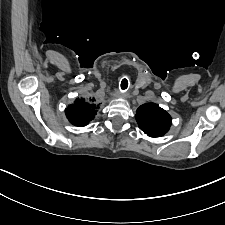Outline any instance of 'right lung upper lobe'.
I'll list each match as a JSON object with an SVG mask.
<instances>
[{
    "label": "right lung upper lobe",
    "instance_id": "1",
    "mask_svg": "<svg viewBox=\"0 0 225 225\" xmlns=\"http://www.w3.org/2000/svg\"><path fill=\"white\" fill-rule=\"evenodd\" d=\"M94 101V100H93ZM97 107L86 103L82 99H76L74 104L66 108V116L69 122L75 126H86L96 115Z\"/></svg>",
    "mask_w": 225,
    "mask_h": 225
}]
</instances>
